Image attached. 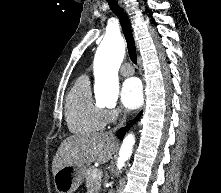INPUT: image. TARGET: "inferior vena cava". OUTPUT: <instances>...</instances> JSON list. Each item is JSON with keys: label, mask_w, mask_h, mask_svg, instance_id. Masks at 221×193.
<instances>
[{"label": "inferior vena cava", "mask_w": 221, "mask_h": 193, "mask_svg": "<svg viewBox=\"0 0 221 193\" xmlns=\"http://www.w3.org/2000/svg\"><path fill=\"white\" fill-rule=\"evenodd\" d=\"M126 122V116L124 115L119 125L114 129L116 131L118 128L123 127V124Z\"/></svg>", "instance_id": "602c4592"}]
</instances>
